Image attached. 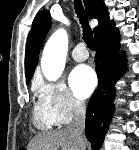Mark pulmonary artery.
Returning a JSON list of instances; mask_svg holds the SVG:
<instances>
[{
    "mask_svg": "<svg viewBox=\"0 0 139 150\" xmlns=\"http://www.w3.org/2000/svg\"><path fill=\"white\" fill-rule=\"evenodd\" d=\"M72 57L75 61L82 62L85 61L89 57V53L85 48V45L80 43L77 45L72 51Z\"/></svg>",
    "mask_w": 139,
    "mask_h": 150,
    "instance_id": "e3ab8cb5",
    "label": "pulmonary artery"
}]
</instances>
